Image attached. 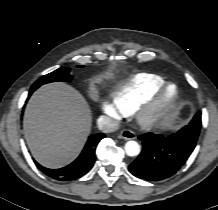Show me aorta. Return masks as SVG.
I'll return each instance as SVG.
<instances>
[{
  "label": "aorta",
  "mask_w": 218,
  "mask_h": 210,
  "mask_svg": "<svg viewBox=\"0 0 218 210\" xmlns=\"http://www.w3.org/2000/svg\"><path fill=\"white\" fill-rule=\"evenodd\" d=\"M124 148L128 156H137L140 153V146L136 141H128Z\"/></svg>",
  "instance_id": "aorta-1"
}]
</instances>
